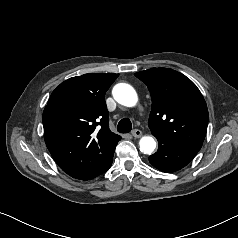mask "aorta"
Returning <instances> with one entry per match:
<instances>
[{
  "instance_id": "aorta-1",
  "label": "aorta",
  "mask_w": 238,
  "mask_h": 238,
  "mask_svg": "<svg viewBox=\"0 0 238 238\" xmlns=\"http://www.w3.org/2000/svg\"><path fill=\"white\" fill-rule=\"evenodd\" d=\"M114 99L121 105L133 107L138 102L135 89L126 83L116 84L112 90ZM140 151L144 154H152L156 148V141L151 136H143L139 141Z\"/></svg>"
}]
</instances>
